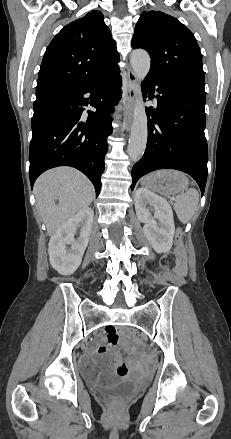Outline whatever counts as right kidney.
<instances>
[{
	"label": "right kidney",
	"mask_w": 231,
	"mask_h": 439,
	"mask_svg": "<svg viewBox=\"0 0 231 439\" xmlns=\"http://www.w3.org/2000/svg\"><path fill=\"white\" fill-rule=\"evenodd\" d=\"M94 212L86 208L67 220L49 241V259L52 267L62 275H71L80 266L91 234ZM81 227L77 239L74 235ZM67 245H71L68 249Z\"/></svg>",
	"instance_id": "1"
}]
</instances>
